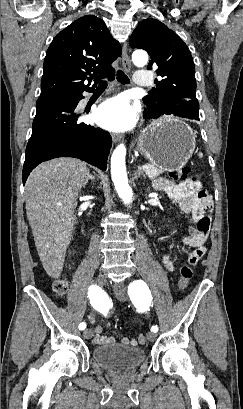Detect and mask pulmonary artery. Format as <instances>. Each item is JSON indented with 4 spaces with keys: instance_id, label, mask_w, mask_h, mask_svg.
Returning a JSON list of instances; mask_svg holds the SVG:
<instances>
[{
    "instance_id": "pulmonary-artery-1",
    "label": "pulmonary artery",
    "mask_w": 243,
    "mask_h": 409,
    "mask_svg": "<svg viewBox=\"0 0 243 409\" xmlns=\"http://www.w3.org/2000/svg\"><path fill=\"white\" fill-rule=\"evenodd\" d=\"M134 83L139 87H147L151 85L152 79L149 72L143 70L137 71L134 76Z\"/></svg>"
}]
</instances>
